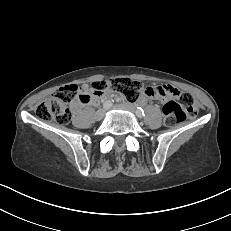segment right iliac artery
Returning <instances> with one entry per match:
<instances>
[{
	"instance_id": "1",
	"label": "right iliac artery",
	"mask_w": 231,
	"mask_h": 231,
	"mask_svg": "<svg viewBox=\"0 0 231 231\" xmlns=\"http://www.w3.org/2000/svg\"><path fill=\"white\" fill-rule=\"evenodd\" d=\"M112 105H113L112 101L108 100L103 104V107L105 109H109V108H111Z\"/></svg>"
}]
</instances>
